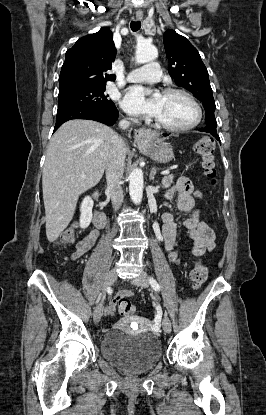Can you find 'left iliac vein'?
Masks as SVG:
<instances>
[{
    "label": "left iliac vein",
    "mask_w": 266,
    "mask_h": 415,
    "mask_svg": "<svg viewBox=\"0 0 266 415\" xmlns=\"http://www.w3.org/2000/svg\"><path fill=\"white\" fill-rule=\"evenodd\" d=\"M131 282L136 285V286H140V287H148V277L147 274L145 272H140V274L133 278L131 280ZM162 327L164 329V331L166 333H170L171 332V321L169 319V317L167 315H164L163 320H162Z\"/></svg>",
    "instance_id": "obj_1"
}]
</instances>
